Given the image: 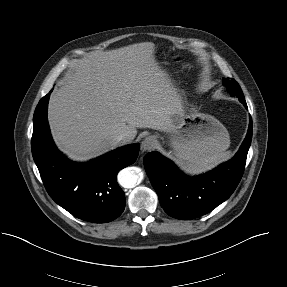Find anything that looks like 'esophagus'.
Here are the masks:
<instances>
[{"label": "esophagus", "instance_id": "1", "mask_svg": "<svg viewBox=\"0 0 287 287\" xmlns=\"http://www.w3.org/2000/svg\"><path fill=\"white\" fill-rule=\"evenodd\" d=\"M156 143L157 139L155 136H147L142 142V150L149 151L155 146Z\"/></svg>", "mask_w": 287, "mask_h": 287}]
</instances>
